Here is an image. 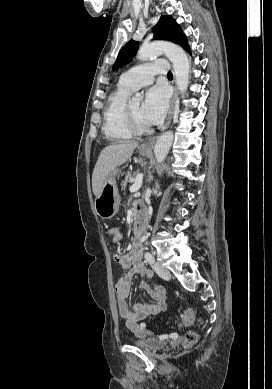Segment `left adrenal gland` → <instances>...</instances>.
Returning <instances> with one entry per match:
<instances>
[{"label": "left adrenal gland", "mask_w": 272, "mask_h": 389, "mask_svg": "<svg viewBox=\"0 0 272 389\" xmlns=\"http://www.w3.org/2000/svg\"><path fill=\"white\" fill-rule=\"evenodd\" d=\"M153 179V176L152 175H150L149 176V181H151Z\"/></svg>", "instance_id": "1"}]
</instances>
